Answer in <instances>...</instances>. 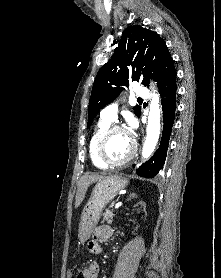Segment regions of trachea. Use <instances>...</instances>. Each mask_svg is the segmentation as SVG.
Returning <instances> with one entry per match:
<instances>
[{"instance_id":"3493384b","label":"trachea","mask_w":221,"mask_h":278,"mask_svg":"<svg viewBox=\"0 0 221 278\" xmlns=\"http://www.w3.org/2000/svg\"><path fill=\"white\" fill-rule=\"evenodd\" d=\"M138 101H142V99H138Z\"/></svg>"}]
</instances>
